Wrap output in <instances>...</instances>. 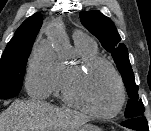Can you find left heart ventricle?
<instances>
[{
  "instance_id": "b2bd125f",
  "label": "left heart ventricle",
  "mask_w": 151,
  "mask_h": 131,
  "mask_svg": "<svg viewBox=\"0 0 151 131\" xmlns=\"http://www.w3.org/2000/svg\"><path fill=\"white\" fill-rule=\"evenodd\" d=\"M78 92L86 104L98 112H110L118 102L117 82L104 65L93 67L82 77Z\"/></svg>"
}]
</instances>
